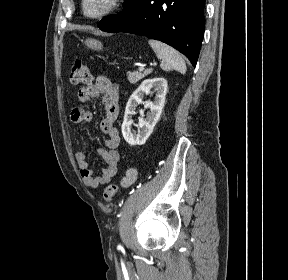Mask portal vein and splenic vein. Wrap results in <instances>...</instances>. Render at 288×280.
<instances>
[{"mask_svg": "<svg viewBox=\"0 0 288 280\" xmlns=\"http://www.w3.org/2000/svg\"><path fill=\"white\" fill-rule=\"evenodd\" d=\"M154 65V64H151ZM144 70V66L139 67V71H143Z\"/></svg>", "mask_w": 288, "mask_h": 280, "instance_id": "portal-vein-and-splenic-vein-1", "label": "portal vein and splenic vein"}]
</instances>
